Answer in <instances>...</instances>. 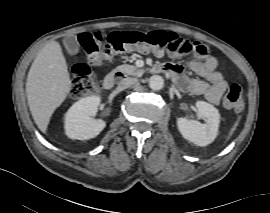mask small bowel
<instances>
[{"label": "small bowel", "instance_id": "small-bowel-1", "mask_svg": "<svg viewBox=\"0 0 270 213\" xmlns=\"http://www.w3.org/2000/svg\"><path fill=\"white\" fill-rule=\"evenodd\" d=\"M158 68L169 72L182 90L203 95L212 104L219 103L221 96L228 88L227 81L216 70L217 59L208 50L201 59H195L189 63V69L203 80L184 79L183 68L178 64L164 63L159 65Z\"/></svg>", "mask_w": 270, "mask_h": 213}]
</instances>
